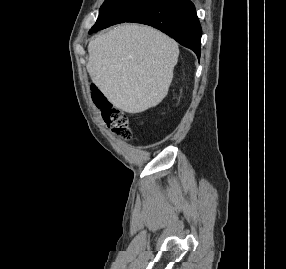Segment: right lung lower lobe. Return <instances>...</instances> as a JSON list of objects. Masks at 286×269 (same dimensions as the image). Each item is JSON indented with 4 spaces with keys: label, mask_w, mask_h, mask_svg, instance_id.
<instances>
[{
    "label": "right lung lower lobe",
    "mask_w": 286,
    "mask_h": 269,
    "mask_svg": "<svg viewBox=\"0 0 286 269\" xmlns=\"http://www.w3.org/2000/svg\"><path fill=\"white\" fill-rule=\"evenodd\" d=\"M127 22L155 27L193 50L200 58L202 30L195 6L189 0H159Z\"/></svg>",
    "instance_id": "98d812e1"
}]
</instances>
